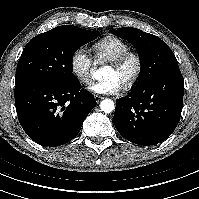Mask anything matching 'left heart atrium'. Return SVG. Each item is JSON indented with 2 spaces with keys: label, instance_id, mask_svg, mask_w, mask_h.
<instances>
[{
  "label": "left heart atrium",
  "instance_id": "obj_1",
  "mask_svg": "<svg viewBox=\"0 0 199 199\" xmlns=\"http://www.w3.org/2000/svg\"><path fill=\"white\" fill-rule=\"evenodd\" d=\"M123 83L116 77H107L103 80L89 83L88 89L96 94H117Z\"/></svg>",
  "mask_w": 199,
  "mask_h": 199
}]
</instances>
